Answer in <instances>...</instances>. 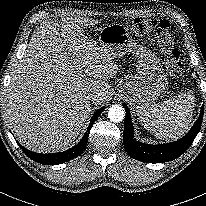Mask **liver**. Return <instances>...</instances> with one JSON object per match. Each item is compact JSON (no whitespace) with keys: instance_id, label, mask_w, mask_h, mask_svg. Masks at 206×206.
I'll use <instances>...</instances> for the list:
<instances>
[{"instance_id":"6515ba94","label":"liver","mask_w":206,"mask_h":206,"mask_svg":"<svg viewBox=\"0 0 206 206\" xmlns=\"http://www.w3.org/2000/svg\"><path fill=\"white\" fill-rule=\"evenodd\" d=\"M96 20H45L34 31L15 67L4 100L12 132L38 153L64 150L79 135L91 112L88 95L108 98V78L118 66L106 48L84 34ZM88 75L90 78H84Z\"/></svg>"}]
</instances>
